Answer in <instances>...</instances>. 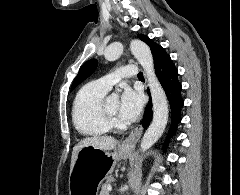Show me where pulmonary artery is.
<instances>
[{
    "label": "pulmonary artery",
    "instance_id": "obj_1",
    "mask_svg": "<svg viewBox=\"0 0 240 195\" xmlns=\"http://www.w3.org/2000/svg\"><path fill=\"white\" fill-rule=\"evenodd\" d=\"M137 73L134 65H124L123 71H114L112 74L104 75L103 78H98V83H103L106 89L110 90L112 86L119 79L117 75L119 74L120 79L124 80L125 76H134Z\"/></svg>",
    "mask_w": 240,
    "mask_h": 195
}]
</instances>
